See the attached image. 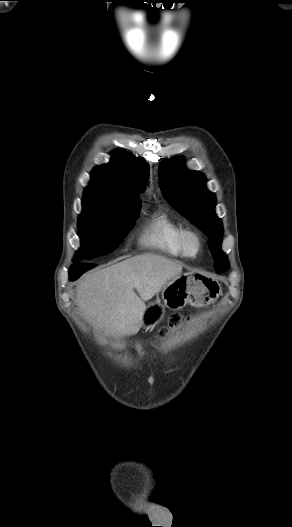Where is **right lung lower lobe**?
Returning <instances> with one entry per match:
<instances>
[{
    "label": "right lung lower lobe",
    "instance_id": "right-lung-lower-lobe-1",
    "mask_svg": "<svg viewBox=\"0 0 292 527\" xmlns=\"http://www.w3.org/2000/svg\"><path fill=\"white\" fill-rule=\"evenodd\" d=\"M94 265H74L69 270L71 280L78 279L83 273L93 268Z\"/></svg>",
    "mask_w": 292,
    "mask_h": 527
}]
</instances>
